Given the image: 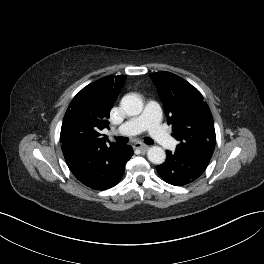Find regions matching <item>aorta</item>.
<instances>
[{"label":"aorta","instance_id":"obj_1","mask_svg":"<svg viewBox=\"0 0 264 264\" xmlns=\"http://www.w3.org/2000/svg\"><path fill=\"white\" fill-rule=\"evenodd\" d=\"M121 107L130 116L139 115L143 110V102L136 94H127L121 100ZM147 157L153 164H162L166 159L165 151L159 146H152L147 151Z\"/></svg>","mask_w":264,"mask_h":264}]
</instances>
